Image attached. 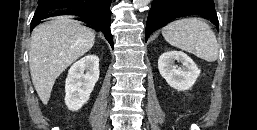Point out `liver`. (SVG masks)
<instances>
[{
    "instance_id": "obj_1",
    "label": "liver",
    "mask_w": 257,
    "mask_h": 130,
    "mask_svg": "<svg viewBox=\"0 0 257 130\" xmlns=\"http://www.w3.org/2000/svg\"><path fill=\"white\" fill-rule=\"evenodd\" d=\"M71 18L56 17L32 32L30 73L34 88L45 105L57 77L95 43L94 32Z\"/></svg>"
}]
</instances>
